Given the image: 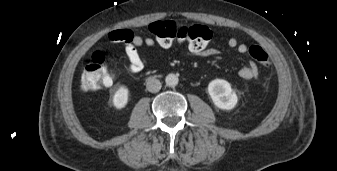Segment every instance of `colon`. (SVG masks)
I'll use <instances>...</instances> for the list:
<instances>
[{"label":"colon","mask_w":337,"mask_h":171,"mask_svg":"<svg viewBox=\"0 0 337 171\" xmlns=\"http://www.w3.org/2000/svg\"><path fill=\"white\" fill-rule=\"evenodd\" d=\"M149 31L162 48H172L176 43L187 44L192 52H201L213 36L206 25H179L171 20L155 21L150 24ZM248 52L259 65H270V59L261 46L252 44ZM114 78L115 72L108 66L106 55L97 50L81 72L80 86L84 91L100 90L111 85Z\"/></svg>","instance_id":"obj_1"}]
</instances>
